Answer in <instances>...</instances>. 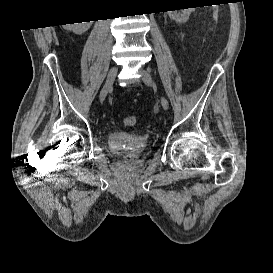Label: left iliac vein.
Masks as SVG:
<instances>
[{
	"instance_id": "left-iliac-vein-1",
	"label": "left iliac vein",
	"mask_w": 273,
	"mask_h": 273,
	"mask_svg": "<svg viewBox=\"0 0 273 273\" xmlns=\"http://www.w3.org/2000/svg\"><path fill=\"white\" fill-rule=\"evenodd\" d=\"M141 75H142V79L144 81V83L151 87L153 86V79L149 73V71L147 69H142L141 70ZM161 105L163 107L164 110H168L169 108V102L165 97H161Z\"/></svg>"
}]
</instances>
